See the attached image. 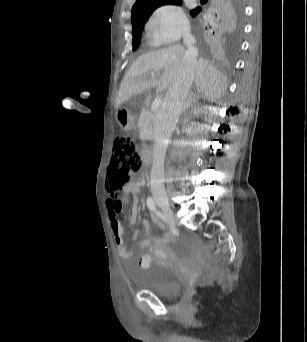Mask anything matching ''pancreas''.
Segmentation results:
<instances>
[{"instance_id":"obj_1","label":"pancreas","mask_w":307,"mask_h":342,"mask_svg":"<svg viewBox=\"0 0 307 342\" xmlns=\"http://www.w3.org/2000/svg\"><path fill=\"white\" fill-rule=\"evenodd\" d=\"M156 118L155 112H142L139 116L137 128L144 134H153L152 122Z\"/></svg>"}]
</instances>
